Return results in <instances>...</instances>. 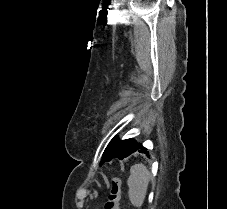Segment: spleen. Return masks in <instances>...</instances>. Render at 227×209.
Wrapping results in <instances>:
<instances>
[{"mask_svg": "<svg viewBox=\"0 0 227 209\" xmlns=\"http://www.w3.org/2000/svg\"><path fill=\"white\" fill-rule=\"evenodd\" d=\"M149 179L150 173L142 163L131 167L130 177L127 181L129 187L128 195L130 203H132L133 207H137V209H141L145 201Z\"/></svg>", "mask_w": 227, "mask_h": 209, "instance_id": "spleen-1", "label": "spleen"}]
</instances>
